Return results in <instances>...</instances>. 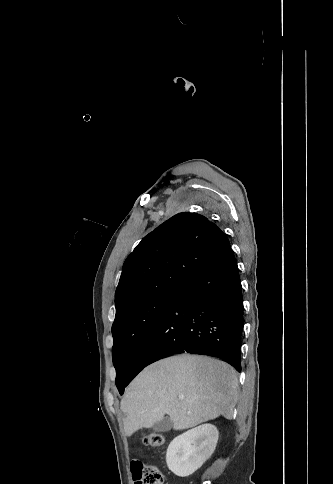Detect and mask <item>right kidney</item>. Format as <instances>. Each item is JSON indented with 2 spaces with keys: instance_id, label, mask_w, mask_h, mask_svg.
<instances>
[{
  "instance_id": "1",
  "label": "right kidney",
  "mask_w": 333,
  "mask_h": 484,
  "mask_svg": "<svg viewBox=\"0 0 333 484\" xmlns=\"http://www.w3.org/2000/svg\"><path fill=\"white\" fill-rule=\"evenodd\" d=\"M219 432L212 424L191 429L170 443L166 462L177 476L187 477L197 471L215 450Z\"/></svg>"
}]
</instances>
